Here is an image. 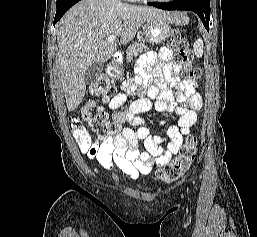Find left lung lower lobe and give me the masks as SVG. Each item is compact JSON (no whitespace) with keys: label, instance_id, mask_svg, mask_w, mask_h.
<instances>
[{"label":"left lung lower lobe","instance_id":"0a47b994","mask_svg":"<svg viewBox=\"0 0 257 237\" xmlns=\"http://www.w3.org/2000/svg\"><path fill=\"white\" fill-rule=\"evenodd\" d=\"M163 10H188L195 12L209 31L210 0H174L170 3H148Z\"/></svg>","mask_w":257,"mask_h":237}]
</instances>
